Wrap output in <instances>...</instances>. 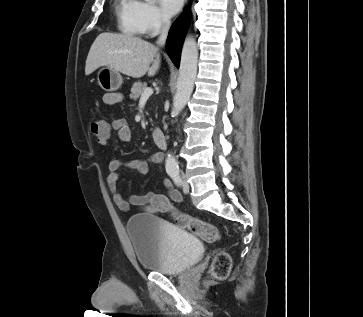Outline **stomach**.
<instances>
[{
	"instance_id": "1",
	"label": "stomach",
	"mask_w": 363,
	"mask_h": 317,
	"mask_svg": "<svg viewBox=\"0 0 363 317\" xmlns=\"http://www.w3.org/2000/svg\"><path fill=\"white\" fill-rule=\"evenodd\" d=\"M97 80L100 87L108 92L118 90L123 83L121 74L108 66L98 71Z\"/></svg>"
}]
</instances>
